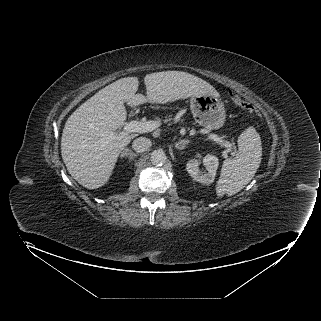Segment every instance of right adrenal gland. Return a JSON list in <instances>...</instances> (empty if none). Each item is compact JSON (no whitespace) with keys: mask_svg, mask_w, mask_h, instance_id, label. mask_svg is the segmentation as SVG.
<instances>
[{"mask_svg":"<svg viewBox=\"0 0 321 321\" xmlns=\"http://www.w3.org/2000/svg\"><path fill=\"white\" fill-rule=\"evenodd\" d=\"M129 156L130 160H132L134 157H137L138 154L134 153L132 150L129 149H123L121 153V157Z\"/></svg>","mask_w":321,"mask_h":321,"instance_id":"obj_1","label":"right adrenal gland"}]
</instances>
